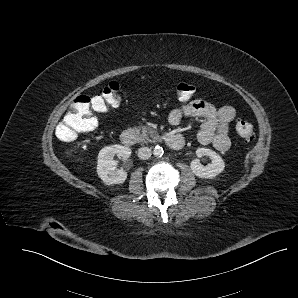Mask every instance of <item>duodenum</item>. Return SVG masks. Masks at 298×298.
Wrapping results in <instances>:
<instances>
[{
	"mask_svg": "<svg viewBox=\"0 0 298 298\" xmlns=\"http://www.w3.org/2000/svg\"><path fill=\"white\" fill-rule=\"evenodd\" d=\"M120 140L127 146L135 145L138 141L136 133L132 129H125L120 134ZM166 144L174 149L179 150L184 145L183 137L178 133H168L164 136Z\"/></svg>",
	"mask_w": 298,
	"mask_h": 298,
	"instance_id": "obj_1",
	"label": "duodenum"
}]
</instances>
